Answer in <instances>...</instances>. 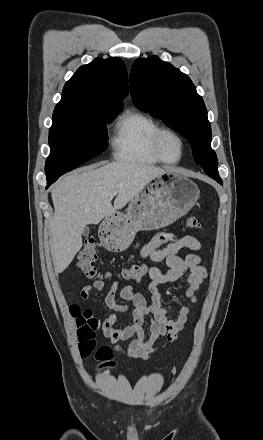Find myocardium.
Here are the masks:
<instances>
[{
	"mask_svg": "<svg viewBox=\"0 0 263 440\" xmlns=\"http://www.w3.org/2000/svg\"><path fill=\"white\" fill-rule=\"evenodd\" d=\"M164 134H171L174 137H176L180 143V147H181V152H180V156L178 159L174 160V161H169L167 160L162 152H161V148H160V141L161 138ZM185 149H186V142L184 137L174 128L172 127H168V126H160L154 133L153 137H152V150L153 153L155 154V156L158 158V160L162 163L165 164H169V165H173V164H177L179 163L185 154Z\"/></svg>",
	"mask_w": 263,
	"mask_h": 440,
	"instance_id": "1",
	"label": "myocardium"
}]
</instances>
